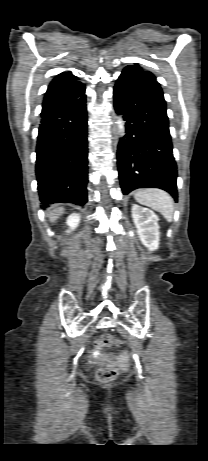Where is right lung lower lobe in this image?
I'll return each instance as SVG.
<instances>
[{
  "mask_svg": "<svg viewBox=\"0 0 208 461\" xmlns=\"http://www.w3.org/2000/svg\"><path fill=\"white\" fill-rule=\"evenodd\" d=\"M85 92V91H84ZM42 109L36 147V177L43 207L87 202L86 95Z\"/></svg>",
  "mask_w": 208,
  "mask_h": 461,
  "instance_id": "1",
  "label": "right lung lower lobe"
}]
</instances>
